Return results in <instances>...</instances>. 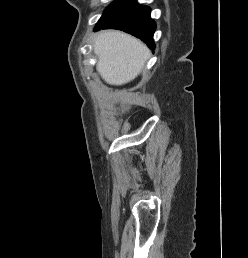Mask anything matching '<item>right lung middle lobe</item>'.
<instances>
[{"mask_svg":"<svg viewBox=\"0 0 248 258\" xmlns=\"http://www.w3.org/2000/svg\"><path fill=\"white\" fill-rule=\"evenodd\" d=\"M121 0H115L114 2H112L107 8L106 10L104 11V14L105 15L107 12H109L114 6H116Z\"/></svg>","mask_w":248,"mask_h":258,"instance_id":"obj_1","label":"right lung middle lobe"}]
</instances>
